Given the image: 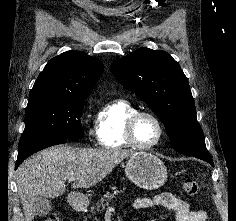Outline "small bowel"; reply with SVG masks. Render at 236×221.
Here are the masks:
<instances>
[{
    "instance_id": "small-bowel-1",
    "label": "small bowel",
    "mask_w": 236,
    "mask_h": 221,
    "mask_svg": "<svg viewBox=\"0 0 236 221\" xmlns=\"http://www.w3.org/2000/svg\"><path fill=\"white\" fill-rule=\"evenodd\" d=\"M157 206L174 211L176 221H207V213L204 210L191 209L185 200L171 193H161L152 198L140 197L135 199L133 203L136 210Z\"/></svg>"
}]
</instances>
